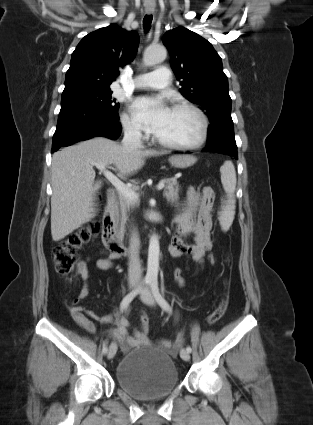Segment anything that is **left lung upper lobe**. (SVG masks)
Instances as JSON below:
<instances>
[{"label":"left lung upper lobe","instance_id":"left-lung-upper-lobe-1","mask_svg":"<svg viewBox=\"0 0 313 425\" xmlns=\"http://www.w3.org/2000/svg\"><path fill=\"white\" fill-rule=\"evenodd\" d=\"M163 43L171 55V67L180 80L179 91L206 110L211 124L233 123L228 79L221 57L212 44L181 26L167 31Z\"/></svg>","mask_w":313,"mask_h":425}]
</instances>
